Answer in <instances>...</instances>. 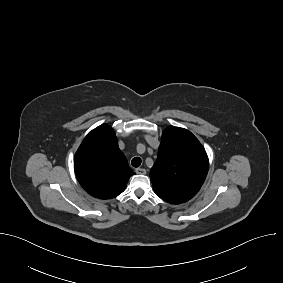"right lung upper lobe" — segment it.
I'll return each instance as SVG.
<instances>
[{
    "label": "right lung upper lobe",
    "mask_w": 283,
    "mask_h": 283,
    "mask_svg": "<svg viewBox=\"0 0 283 283\" xmlns=\"http://www.w3.org/2000/svg\"><path fill=\"white\" fill-rule=\"evenodd\" d=\"M74 168L80 185L100 199L122 193L134 174L118 147L114 131L107 124L86 136L75 154Z\"/></svg>",
    "instance_id": "1"
}]
</instances>
